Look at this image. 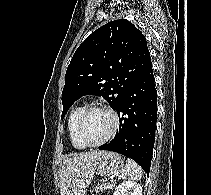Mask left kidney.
<instances>
[{"instance_id":"5707ae66","label":"left kidney","mask_w":211,"mask_h":195,"mask_svg":"<svg viewBox=\"0 0 211 195\" xmlns=\"http://www.w3.org/2000/svg\"><path fill=\"white\" fill-rule=\"evenodd\" d=\"M113 195H142V187L133 181H123L117 186Z\"/></svg>"}]
</instances>
